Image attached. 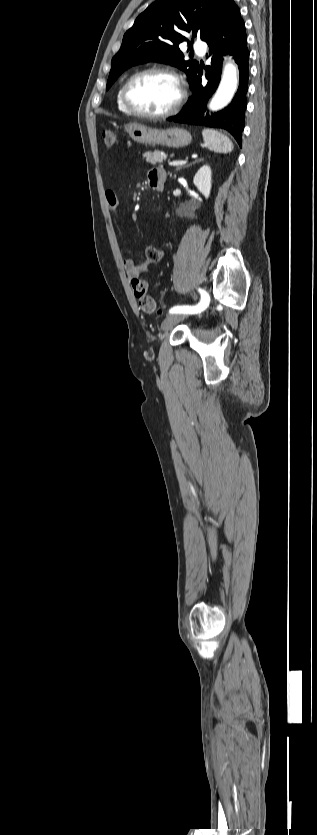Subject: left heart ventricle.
<instances>
[{
  "label": "left heart ventricle",
  "instance_id": "b2bd125f",
  "mask_svg": "<svg viewBox=\"0 0 317 835\" xmlns=\"http://www.w3.org/2000/svg\"><path fill=\"white\" fill-rule=\"evenodd\" d=\"M178 96L176 82L162 74H150L140 78L130 91L133 104L148 113H160L169 109Z\"/></svg>",
  "mask_w": 317,
  "mask_h": 835
}]
</instances>
